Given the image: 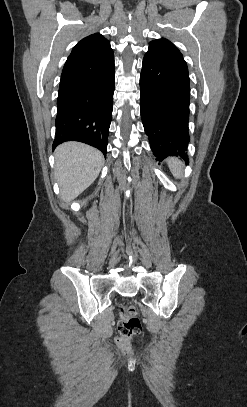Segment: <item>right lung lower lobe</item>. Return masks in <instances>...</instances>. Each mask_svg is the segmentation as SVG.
I'll use <instances>...</instances> for the list:
<instances>
[{"label":"right lung lower lobe","instance_id":"1","mask_svg":"<svg viewBox=\"0 0 247 407\" xmlns=\"http://www.w3.org/2000/svg\"><path fill=\"white\" fill-rule=\"evenodd\" d=\"M114 73L112 56L79 78L60 85L53 149L65 141H79L96 147L106 156Z\"/></svg>","mask_w":247,"mask_h":407}]
</instances>
